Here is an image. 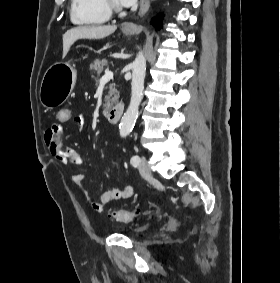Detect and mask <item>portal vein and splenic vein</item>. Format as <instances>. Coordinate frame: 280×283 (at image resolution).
<instances>
[{
    "mask_svg": "<svg viewBox=\"0 0 280 283\" xmlns=\"http://www.w3.org/2000/svg\"><path fill=\"white\" fill-rule=\"evenodd\" d=\"M113 78V72L109 71L108 69L105 70V74L100 79V83H107L110 79Z\"/></svg>",
    "mask_w": 280,
    "mask_h": 283,
    "instance_id": "1",
    "label": "portal vein and splenic vein"
}]
</instances>
